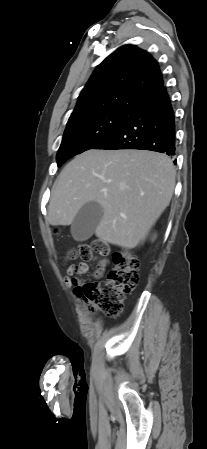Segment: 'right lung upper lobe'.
<instances>
[{"mask_svg":"<svg viewBox=\"0 0 207 449\" xmlns=\"http://www.w3.org/2000/svg\"><path fill=\"white\" fill-rule=\"evenodd\" d=\"M167 94L158 63L134 45H124L97 66L69 119L110 109L136 111Z\"/></svg>","mask_w":207,"mask_h":449,"instance_id":"1","label":"right lung upper lobe"}]
</instances>
